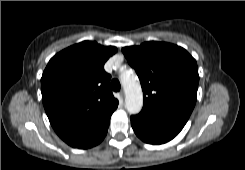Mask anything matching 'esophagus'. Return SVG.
Here are the masks:
<instances>
[{
  "label": "esophagus",
  "mask_w": 245,
  "mask_h": 170,
  "mask_svg": "<svg viewBox=\"0 0 245 170\" xmlns=\"http://www.w3.org/2000/svg\"><path fill=\"white\" fill-rule=\"evenodd\" d=\"M119 95H120L121 101H123V98H124V91L121 90V91L119 92Z\"/></svg>",
  "instance_id": "esophagus-1"
}]
</instances>
